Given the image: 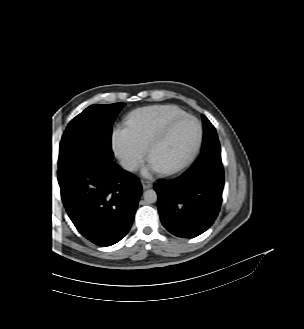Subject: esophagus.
Instances as JSON below:
<instances>
[{
  "label": "esophagus",
  "mask_w": 304,
  "mask_h": 329,
  "mask_svg": "<svg viewBox=\"0 0 304 329\" xmlns=\"http://www.w3.org/2000/svg\"><path fill=\"white\" fill-rule=\"evenodd\" d=\"M141 183H142L143 189H149L153 185V183L149 180H142Z\"/></svg>",
  "instance_id": "1"
}]
</instances>
